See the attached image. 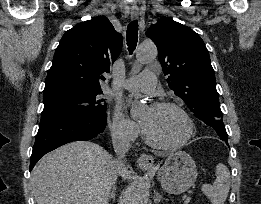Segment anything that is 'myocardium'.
I'll return each instance as SVG.
<instances>
[{
	"label": "myocardium",
	"mask_w": 261,
	"mask_h": 204,
	"mask_svg": "<svg viewBox=\"0 0 261 204\" xmlns=\"http://www.w3.org/2000/svg\"><path fill=\"white\" fill-rule=\"evenodd\" d=\"M151 107L156 108V109L172 108V109H175L176 111H178L186 122L187 132H186V135L184 136V138L182 140H180L179 142L174 143V144H163V143L156 141L150 135V133L145 129V127L142 125V132H143L146 142L150 146H152L156 149L166 150V151L177 150V149L185 146L190 141V139L192 138V136L194 134V124H193V121H192L190 115L187 113V111L180 104L173 102V101H158V102H155Z\"/></svg>",
	"instance_id": "f54148a6"
}]
</instances>
